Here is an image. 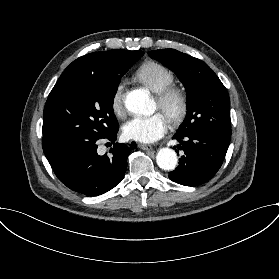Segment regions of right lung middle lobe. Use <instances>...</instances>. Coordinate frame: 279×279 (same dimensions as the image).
<instances>
[{"label":"right lung middle lobe","mask_w":279,"mask_h":279,"mask_svg":"<svg viewBox=\"0 0 279 279\" xmlns=\"http://www.w3.org/2000/svg\"><path fill=\"white\" fill-rule=\"evenodd\" d=\"M144 54L127 52L101 74L63 73L43 112V151L52 159L62 151L106 138L118 128L113 101L121 77Z\"/></svg>","instance_id":"dd1d6c3e"}]
</instances>
